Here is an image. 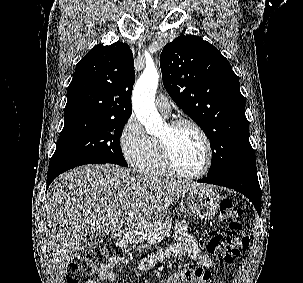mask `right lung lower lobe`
I'll use <instances>...</instances> for the list:
<instances>
[{
  "label": "right lung lower lobe",
  "instance_id": "1",
  "mask_svg": "<svg viewBox=\"0 0 303 283\" xmlns=\"http://www.w3.org/2000/svg\"><path fill=\"white\" fill-rule=\"evenodd\" d=\"M90 163L106 164L105 162H81V163L63 164V165H58V166H54V167H49L48 174H47L46 190L48 189L51 182L61 173L65 172L71 168H74L76 166L90 164Z\"/></svg>",
  "mask_w": 303,
  "mask_h": 283
}]
</instances>
